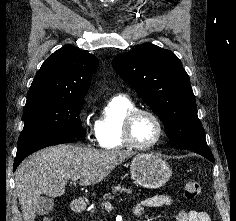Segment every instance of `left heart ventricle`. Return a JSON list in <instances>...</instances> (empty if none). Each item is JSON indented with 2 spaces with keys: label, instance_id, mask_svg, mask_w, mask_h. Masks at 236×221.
<instances>
[{
  "label": "left heart ventricle",
  "instance_id": "left-heart-ventricle-1",
  "mask_svg": "<svg viewBox=\"0 0 236 221\" xmlns=\"http://www.w3.org/2000/svg\"><path fill=\"white\" fill-rule=\"evenodd\" d=\"M132 132L133 138L138 144L147 145L156 139L158 127L153 118L142 114L134 121Z\"/></svg>",
  "mask_w": 236,
  "mask_h": 221
}]
</instances>
